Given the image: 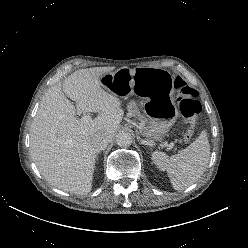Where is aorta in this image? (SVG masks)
Here are the masks:
<instances>
[{"label": "aorta", "mask_w": 248, "mask_h": 248, "mask_svg": "<svg viewBox=\"0 0 248 248\" xmlns=\"http://www.w3.org/2000/svg\"><path fill=\"white\" fill-rule=\"evenodd\" d=\"M116 143L120 147H129L132 144V135L127 131H120L116 135Z\"/></svg>", "instance_id": "762f6f07"}]
</instances>
